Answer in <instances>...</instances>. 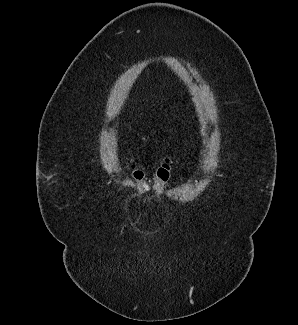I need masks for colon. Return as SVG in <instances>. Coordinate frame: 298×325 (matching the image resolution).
Here are the masks:
<instances>
[{
	"instance_id": "colon-1",
	"label": "colon",
	"mask_w": 298,
	"mask_h": 325,
	"mask_svg": "<svg viewBox=\"0 0 298 325\" xmlns=\"http://www.w3.org/2000/svg\"><path fill=\"white\" fill-rule=\"evenodd\" d=\"M129 168L138 190L142 194H146L151 190L155 192L162 191L167 186L171 175V162L168 158L165 159L156 170L152 186L149 184L145 172L134 162V160H130Z\"/></svg>"
}]
</instances>
